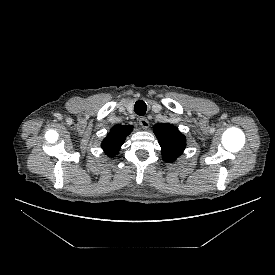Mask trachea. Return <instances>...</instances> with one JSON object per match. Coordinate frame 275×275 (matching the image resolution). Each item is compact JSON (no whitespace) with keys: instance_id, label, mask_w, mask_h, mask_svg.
<instances>
[{"instance_id":"1","label":"trachea","mask_w":275,"mask_h":275,"mask_svg":"<svg viewBox=\"0 0 275 275\" xmlns=\"http://www.w3.org/2000/svg\"><path fill=\"white\" fill-rule=\"evenodd\" d=\"M146 110H147V105L144 101L139 100L135 103L134 111L137 115H139V116L145 115Z\"/></svg>"}]
</instances>
